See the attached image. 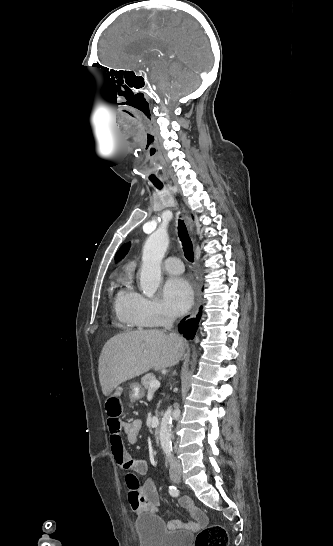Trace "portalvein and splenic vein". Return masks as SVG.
I'll return each instance as SVG.
<instances>
[{
	"label": "portal vein and splenic vein",
	"instance_id": "portal-vein-and-splenic-vein-1",
	"mask_svg": "<svg viewBox=\"0 0 333 546\" xmlns=\"http://www.w3.org/2000/svg\"><path fill=\"white\" fill-rule=\"evenodd\" d=\"M159 387H160V382L154 379L150 382L149 390H157Z\"/></svg>",
	"mask_w": 333,
	"mask_h": 546
}]
</instances>
